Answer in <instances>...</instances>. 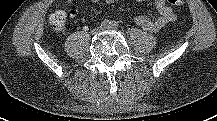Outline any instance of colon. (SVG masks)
Wrapping results in <instances>:
<instances>
[{
    "instance_id": "obj_1",
    "label": "colon",
    "mask_w": 217,
    "mask_h": 121,
    "mask_svg": "<svg viewBox=\"0 0 217 121\" xmlns=\"http://www.w3.org/2000/svg\"><path fill=\"white\" fill-rule=\"evenodd\" d=\"M173 6H182L184 0H167ZM49 24L58 33H62L66 28V12L64 10H56L49 16Z\"/></svg>"
}]
</instances>
